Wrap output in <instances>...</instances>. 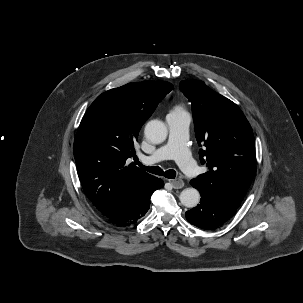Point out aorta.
<instances>
[{"label":"aorta","mask_w":303,"mask_h":303,"mask_svg":"<svg viewBox=\"0 0 303 303\" xmlns=\"http://www.w3.org/2000/svg\"><path fill=\"white\" fill-rule=\"evenodd\" d=\"M145 137L154 144L162 143L167 137V127L160 120H151L145 126ZM182 205L194 208L200 201V193L195 188L184 189L179 196Z\"/></svg>","instance_id":"1"}]
</instances>
